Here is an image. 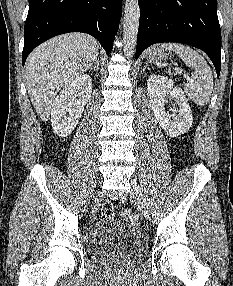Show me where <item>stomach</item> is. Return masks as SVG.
Wrapping results in <instances>:
<instances>
[{
  "instance_id": "0dacf381",
  "label": "stomach",
  "mask_w": 233,
  "mask_h": 286,
  "mask_svg": "<svg viewBox=\"0 0 233 286\" xmlns=\"http://www.w3.org/2000/svg\"><path fill=\"white\" fill-rule=\"evenodd\" d=\"M169 52L160 46L152 47L147 54V60L150 63H159L169 57Z\"/></svg>"
}]
</instances>
